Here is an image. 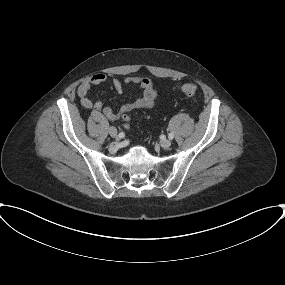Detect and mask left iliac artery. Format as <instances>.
Segmentation results:
<instances>
[{"mask_svg":"<svg viewBox=\"0 0 285 285\" xmlns=\"http://www.w3.org/2000/svg\"><path fill=\"white\" fill-rule=\"evenodd\" d=\"M168 138L169 139H173L174 138V134L173 133H169Z\"/></svg>","mask_w":285,"mask_h":285,"instance_id":"1","label":"left iliac artery"}]
</instances>
